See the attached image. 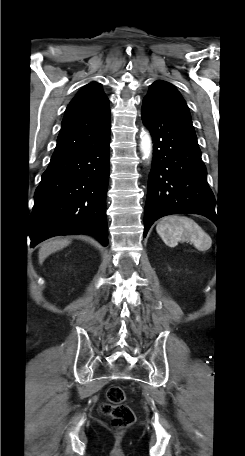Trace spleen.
Instances as JSON below:
<instances>
[{"mask_svg":"<svg viewBox=\"0 0 245 456\" xmlns=\"http://www.w3.org/2000/svg\"><path fill=\"white\" fill-rule=\"evenodd\" d=\"M156 231L162 240L170 247H175L180 240H189L200 250L211 246V238L193 220L184 216H168L160 220Z\"/></svg>","mask_w":245,"mask_h":456,"instance_id":"spleen-1","label":"spleen"}]
</instances>
